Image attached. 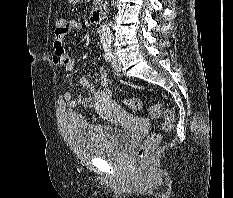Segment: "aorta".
Instances as JSON below:
<instances>
[{"instance_id": "aorta-1", "label": "aorta", "mask_w": 233, "mask_h": 198, "mask_svg": "<svg viewBox=\"0 0 233 198\" xmlns=\"http://www.w3.org/2000/svg\"><path fill=\"white\" fill-rule=\"evenodd\" d=\"M99 36L101 42H109L111 40V32L109 25L107 23H103L99 28Z\"/></svg>"}]
</instances>
